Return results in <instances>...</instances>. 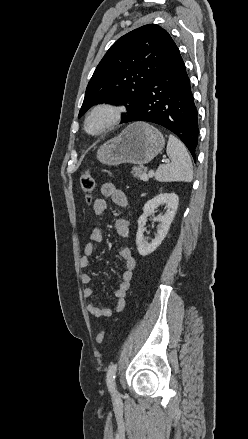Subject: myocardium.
Returning a JSON list of instances; mask_svg holds the SVG:
<instances>
[{
  "label": "myocardium",
  "instance_id": "1",
  "mask_svg": "<svg viewBox=\"0 0 248 439\" xmlns=\"http://www.w3.org/2000/svg\"><path fill=\"white\" fill-rule=\"evenodd\" d=\"M97 115H104L106 120L102 127L96 131L89 129V123ZM123 117V109L113 103H99L93 106L84 118V130L88 135L100 136L112 130L120 124Z\"/></svg>",
  "mask_w": 248,
  "mask_h": 439
}]
</instances>
